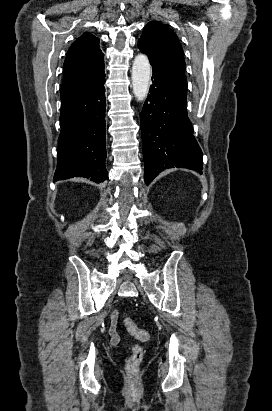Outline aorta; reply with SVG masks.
I'll return each mask as SVG.
<instances>
[{
    "label": "aorta",
    "instance_id": "aorta-1",
    "mask_svg": "<svg viewBox=\"0 0 272 411\" xmlns=\"http://www.w3.org/2000/svg\"><path fill=\"white\" fill-rule=\"evenodd\" d=\"M151 66L149 59L144 54H138L132 66V87L134 96L138 101H143L148 94Z\"/></svg>",
    "mask_w": 272,
    "mask_h": 411
}]
</instances>
